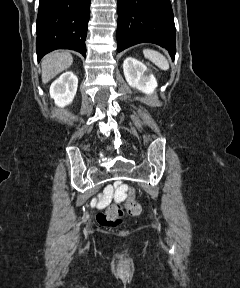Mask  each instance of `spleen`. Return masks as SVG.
<instances>
[{
    "mask_svg": "<svg viewBox=\"0 0 240 288\" xmlns=\"http://www.w3.org/2000/svg\"><path fill=\"white\" fill-rule=\"evenodd\" d=\"M143 54L146 59H149L161 70L166 71L169 69V62L167 61L166 57L158 51L152 49H144Z\"/></svg>",
    "mask_w": 240,
    "mask_h": 288,
    "instance_id": "3e777b00",
    "label": "spleen"
}]
</instances>
